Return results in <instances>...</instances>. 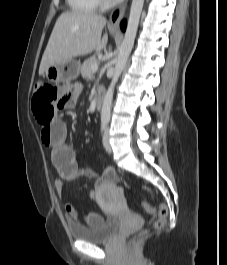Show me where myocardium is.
Wrapping results in <instances>:
<instances>
[{"label":"myocardium","mask_w":227,"mask_h":265,"mask_svg":"<svg viewBox=\"0 0 227 265\" xmlns=\"http://www.w3.org/2000/svg\"><path fill=\"white\" fill-rule=\"evenodd\" d=\"M100 2H102V3H106L107 2V0H99Z\"/></svg>","instance_id":"obj_1"}]
</instances>
